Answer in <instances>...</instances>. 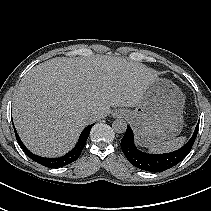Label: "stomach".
I'll list each match as a JSON object with an SVG mask.
<instances>
[{
	"label": "stomach",
	"mask_w": 211,
	"mask_h": 211,
	"mask_svg": "<svg viewBox=\"0 0 211 211\" xmlns=\"http://www.w3.org/2000/svg\"><path fill=\"white\" fill-rule=\"evenodd\" d=\"M185 97L173 82L156 78L134 110L120 109L132 125L137 142L152 146L175 138L183 128Z\"/></svg>",
	"instance_id": "0dacf381"
}]
</instances>
